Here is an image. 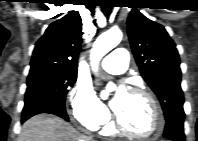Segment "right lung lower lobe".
Segmentation results:
<instances>
[{
  "label": "right lung lower lobe",
  "instance_id": "right-lung-lower-lobe-1",
  "mask_svg": "<svg viewBox=\"0 0 198 141\" xmlns=\"http://www.w3.org/2000/svg\"><path fill=\"white\" fill-rule=\"evenodd\" d=\"M40 113H48L59 116L66 121H69L68 115L66 114L65 109L47 104V103H28L25 104L22 111V123L29 119L30 117L40 114Z\"/></svg>",
  "mask_w": 198,
  "mask_h": 141
}]
</instances>
